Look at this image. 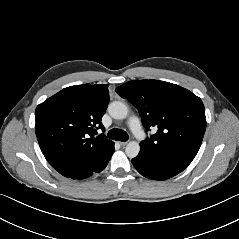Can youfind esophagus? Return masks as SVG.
Segmentation results:
<instances>
[{
  "mask_svg": "<svg viewBox=\"0 0 239 239\" xmlns=\"http://www.w3.org/2000/svg\"><path fill=\"white\" fill-rule=\"evenodd\" d=\"M127 143H128L127 141H125V142H123V141H122V142H119V144H120L121 146H125V145H127Z\"/></svg>",
  "mask_w": 239,
  "mask_h": 239,
  "instance_id": "1",
  "label": "esophagus"
}]
</instances>
